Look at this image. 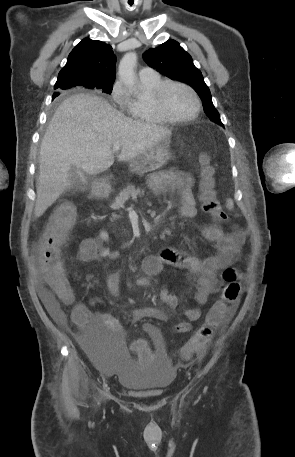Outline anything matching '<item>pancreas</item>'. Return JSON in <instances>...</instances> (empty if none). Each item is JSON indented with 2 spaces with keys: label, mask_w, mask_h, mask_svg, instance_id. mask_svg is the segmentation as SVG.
Instances as JSON below:
<instances>
[{
  "label": "pancreas",
  "mask_w": 295,
  "mask_h": 457,
  "mask_svg": "<svg viewBox=\"0 0 295 457\" xmlns=\"http://www.w3.org/2000/svg\"><path fill=\"white\" fill-rule=\"evenodd\" d=\"M143 195L144 190H141L139 188L136 189L133 185H129L127 188L123 189V191H121L120 194L115 198V201L111 205V208L114 210L124 208L125 202L128 201L130 198L132 200H136L138 196ZM117 217V215H113L111 221L115 220Z\"/></svg>",
  "instance_id": "1"
}]
</instances>
